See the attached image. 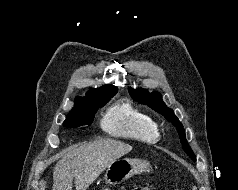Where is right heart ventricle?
<instances>
[{"instance_id": "right-heart-ventricle-1", "label": "right heart ventricle", "mask_w": 238, "mask_h": 190, "mask_svg": "<svg viewBox=\"0 0 238 190\" xmlns=\"http://www.w3.org/2000/svg\"><path fill=\"white\" fill-rule=\"evenodd\" d=\"M100 125L112 136L134 138L148 143L157 141L159 137L152 117L130 101H121L109 107Z\"/></svg>"}]
</instances>
